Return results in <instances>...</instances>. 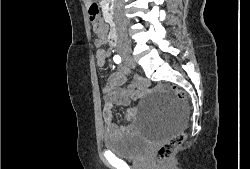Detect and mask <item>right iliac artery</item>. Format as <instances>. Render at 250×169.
Here are the masks:
<instances>
[{"instance_id":"1","label":"right iliac artery","mask_w":250,"mask_h":169,"mask_svg":"<svg viewBox=\"0 0 250 169\" xmlns=\"http://www.w3.org/2000/svg\"><path fill=\"white\" fill-rule=\"evenodd\" d=\"M113 60H114V62L115 63H120L121 62V57L119 56V55H115L114 57H113Z\"/></svg>"}]
</instances>
